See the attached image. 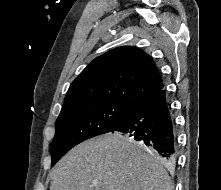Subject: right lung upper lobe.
Returning <instances> with one entry per match:
<instances>
[{"mask_svg":"<svg viewBox=\"0 0 221 190\" xmlns=\"http://www.w3.org/2000/svg\"><path fill=\"white\" fill-rule=\"evenodd\" d=\"M161 89L163 82L152 58L139 48L122 46L83 70L69 87L63 107L95 101L135 106Z\"/></svg>","mask_w":221,"mask_h":190,"instance_id":"cb5924a9","label":"right lung upper lobe"}]
</instances>
